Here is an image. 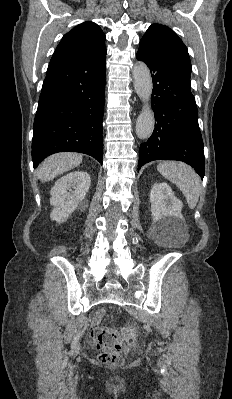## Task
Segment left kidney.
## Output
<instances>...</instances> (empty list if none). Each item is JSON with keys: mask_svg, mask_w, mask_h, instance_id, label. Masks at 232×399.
Returning a JSON list of instances; mask_svg holds the SVG:
<instances>
[{"mask_svg": "<svg viewBox=\"0 0 232 399\" xmlns=\"http://www.w3.org/2000/svg\"><path fill=\"white\" fill-rule=\"evenodd\" d=\"M150 201L153 223L149 233L154 241H180L188 237V225L181 213L183 203L168 184H154Z\"/></svg>", "mask_w": 232, "mask_h": 399, "instance_id": "obj_1", "label": "left kidney"}]
</instances>
